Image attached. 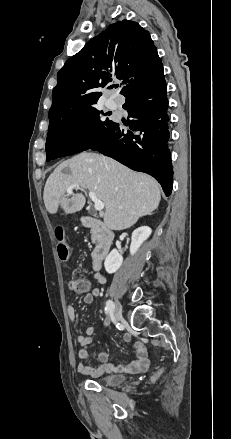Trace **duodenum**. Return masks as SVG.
<instances>
[{
  "mask_svg": "<svg viewBox=\"0 0 231 439\" xmlns=\"http://www.w3.org/2000/svg\"><path fill=\"white\" fill-rule=\"evenodd\" d=\"M81 223L84 227L91 229L98 236V243L92 251L91 258L93 269L99 270L113 244L114 234L105 223L99 219L84 216L81 219Z\"/></svg>",
  "mask_w": 231,
  "mask_h": 439,
  "instance_id": "410a0bca",
  "label": "duodenum"
}]
</instances>
